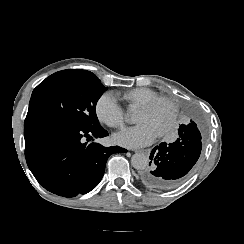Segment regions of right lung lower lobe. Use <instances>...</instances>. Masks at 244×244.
<instances>
[{"label": "right lung lower lobe", "mask_w": 244, "mask_h": 244, "mask_svg": "<svg viewBox=\"0 0 244 244\" xmlns=\"http://www.w3.org/2000/svg\"><path fill=\"white\" fill-rule=\"evenodd\" d=\"M108 136L101 126L75 127L46 116H27L24 123L25 157L37 181L48 191L74 197L91 191L103 177L108 157L127 152L87 141Z\"/></svg>", "instance_id": "right-lung-lower-lobe-1"}]
</instances>
